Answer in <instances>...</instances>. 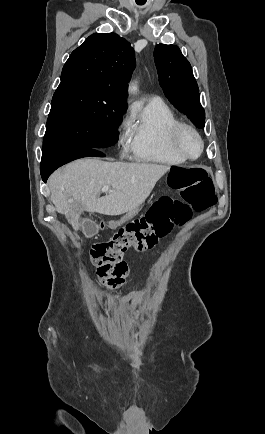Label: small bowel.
Here are the masks:
<instances>
[{
  "instance_id": "small-bowel-1",
  "label": "small bowel",
  "mask_w": 265,
  "mask_h": 434,
  "mask_svg": "<svg viewBox=\"0 0 265 434\" xmlns=\"http://www.w3.org/2000/svg\"><path fill=\"white\" fill-rule=\"evenodd\" d=\"M147 295H148L147 290H136L127 294H122L121 292H115L111 294L110 299L113 302H116L117 310H121L129 303L141 302L143 299L146 298Z\"/></svg>"
}]
</instances>
